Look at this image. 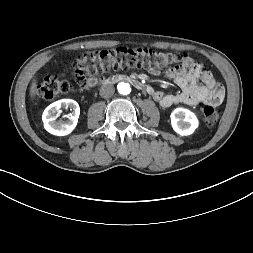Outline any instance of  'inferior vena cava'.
Masks as SVG:
<instances>
[{
  "label": "inferior vena cava",
  "mask_w": 253,
  "mask_h": 253,
  "mask_svg": "<svg viewBox=\"0 0 253 253\" xmlns=\"http://www.w3.org/2000/svg\"><path fill=\"white\" fill-rule=\"evenodd\" d=\"M115 92V88L112 85H104L100 89V96L103 98L111 97Z\"/></svg>",
  "instance_id": "obj_1"
}]
</instances>
